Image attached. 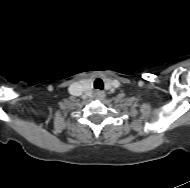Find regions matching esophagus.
Returning <instances> with one entry per match:
<instances>
[{
    "label": "esophagus",
    "mask_w": 190,
    "mask_h": 188,
    "mask_svg": "<svg viewBox=\"0 0 190 188\" xmlns=\"http://www.w3.org/2000/svg\"><path fill=\"white\" fill-rule=\"evenodd\" d=\"M95 97L96 99L101 100L105 97V93L103 91L98 90L95 92Z\"/></svg>",
    "instance_id": "obj_1"
}]
</instances>
